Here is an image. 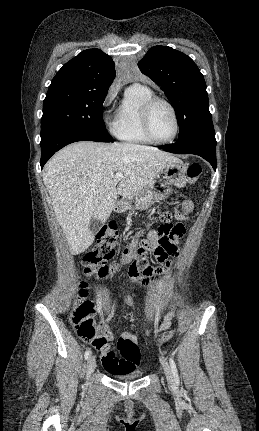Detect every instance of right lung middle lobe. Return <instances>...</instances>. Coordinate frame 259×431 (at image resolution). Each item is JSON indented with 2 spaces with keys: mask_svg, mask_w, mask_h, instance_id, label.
I'll use <instances>...</instances> for the list:
<instances>
[{
  "mask_svg": "<svg viewBox=\"0 0 259 431\" xmlns=\"http://www.w3.org/2000/svg\"><path fill=\"white\" fill-rule=\"evenodd\" d=\"M107 92L95 93L68 89L48 91L43 103L41 140L61 129H80L109 141L103 121V102Z\"/></svg>",
  "mask_w": 259,
  "mask_h": 431,
  "instance_id": "dd1d6c3e",
  "label": "right lung middle lobe"
}]
</instances>
